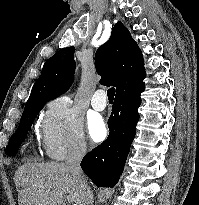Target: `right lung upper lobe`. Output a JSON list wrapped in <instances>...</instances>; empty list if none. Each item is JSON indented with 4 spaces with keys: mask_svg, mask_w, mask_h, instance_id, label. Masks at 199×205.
<instances>
[{
    "mask_svg": "<svg viewBox=\"0 0 199 205\" xmlns=\"http://www.w3.org/2000/svg\"><path fill=\"white\" fill-rule=\"evenodd\" d=\"M74 52L75 47L63 48L45 62L27 103L39 99L53 100L69 89L76 66ZM95 68L102 76L100 83L116 87V92L145 74L142 52L120 21L112 28L109 40L97 49Z\"/></svg>",
    "mask_w": 199,
    "mask_h": 205,
    "instance_id": "cb5924a9",
    "label": "right lung upper lobe"
}]
</instances>
